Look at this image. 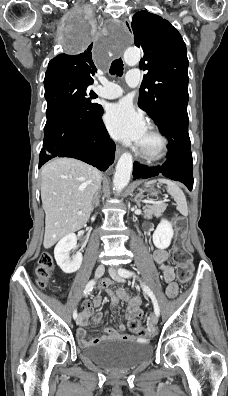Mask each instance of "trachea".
<instances>
[{
    "label": "trachea",
    "instance_id": "trachea-1",
    "mask_svg": "<svg viewBox=\"0 0 228 396\" xmlns=\"http://www.w3.org/2000/svg\"><path fill=\"white\" fill-rule=\"evenodd\" d=\"M110 74L121 77L123 75V61L121 58L114 60L111 63Z\"/></svg>",
    "mask_w": 228,
    "mask_h": 396
}]
</instances>
